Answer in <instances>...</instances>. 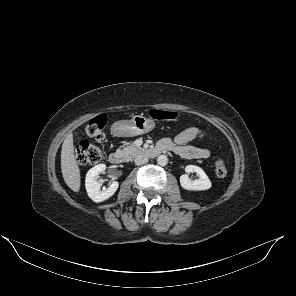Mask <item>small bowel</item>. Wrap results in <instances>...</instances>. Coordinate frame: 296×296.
<instances>
[{"label": "small bowel", "mask_w": 296, "mask_h": 296, "mask_svg": "<svg viewBox=\"0 0 296 296\" xmlns=\"http://www.w3.org/2000/svg\"><path fill=\"white\" fill-rule=\"evenodd\" d=\"M206 132L197 127H189L178 133L175 138H163L159 145L164 146L167 151L177 154L185 159H208L211 156L210 150L199 148L188 143L200 136H205Z\"/></svg>", "instance_id": "c3829d8e"}]
</instances>
